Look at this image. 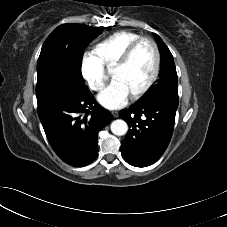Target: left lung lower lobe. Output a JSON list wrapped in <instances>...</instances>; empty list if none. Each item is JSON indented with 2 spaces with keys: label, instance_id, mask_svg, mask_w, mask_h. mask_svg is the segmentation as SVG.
Segmentation results:
<instances>
[{
  "label": "left lung lower lobe",
  "instance_id": "left-lung-lower-lobe-1",
  "mask_svg": "<svg viewBox=\"0 0 227 227\" xmlns=\"http://www.w3.org/2000/svg\"><path fill=\"white\" fill-rule=\"evenodd\" d=\"M177 107L178 102L157 97L119 112L129 126L121 142L122 157L127 163L146 167L162 156L171 140Z\"/></svg>",
  "mask_w": 227,
  "mask_h": 227
}]
</instances>
